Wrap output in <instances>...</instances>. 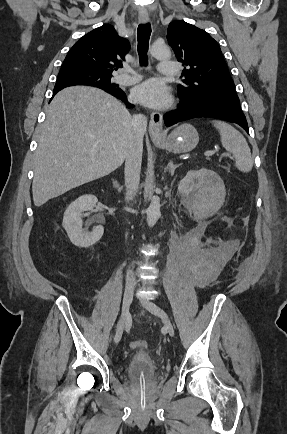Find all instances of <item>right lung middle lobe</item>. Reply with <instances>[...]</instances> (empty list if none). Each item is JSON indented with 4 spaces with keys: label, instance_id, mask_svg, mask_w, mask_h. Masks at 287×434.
Masks as SVG:
<instances>
[{
    "label": "right lung middle lobe",
    "instance_id": "dd1d6c3e",
    "mask_svg": "<svg viewBox=\"0 0 287 434\" xmlns=\"http://www.w3.org/2000/svg\"><path fill=\"white\" fill-rule=\"evenodd\" d=\"M112 75H103L85 70H60L57 83L78 82L103 90L118 89V85L110 83Z\"/></svg>",
    "mask_w": 287,
    "mask_h": 434
}]
</instances>
